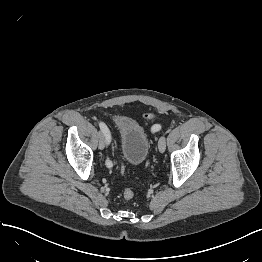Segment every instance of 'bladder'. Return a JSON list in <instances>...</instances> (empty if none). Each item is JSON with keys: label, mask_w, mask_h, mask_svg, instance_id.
<instances>
[{"label": "bladder", "mask_w": 262, "mask_h": 262, "mask_svg": "<svg viewBox=\"0 0 262 262\" xmlns=\"http://www.w3.org/2000/svg\"><path fill=\"white\" fill-rule=\"evenodd\" d=\"M115 124L119 132L123 159L131 166L140 165L145 161L150 148L145 130L128 116L116 117Z\"/></svg>", "instance_id": "31cf9c89"}]
</instances>
